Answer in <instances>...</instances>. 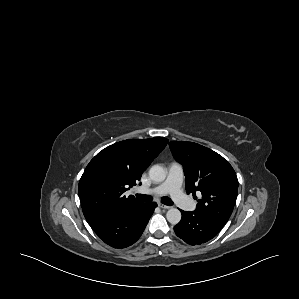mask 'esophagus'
Instances as JSON below:
<instances>
[{
	"label": "esophagus",
	"mask_w": 299,
	"mask_h": 299,
	"mask_svg": "<svg viewBox=\"0 0 299 299\" xmlns=\"http://www.w3.org/2000/svg\"><path fill=\"white\" fill-rule=\"evenodd\" d=\"M158 206H159L160 208H162V209H166V210L171 208L170 206L164 205V204H162V203H158Z\"/></svg>",
	"instance_id": "1"
}]
</instances>
